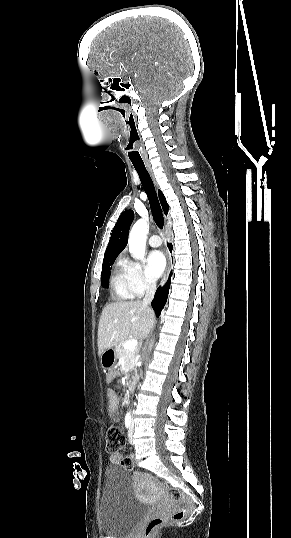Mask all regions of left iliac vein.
<instances>
[{
	"instance_id": "obj_1",
	"label": "left iliac vein",
	"mask_w": 291,
	"mask_h": 538,
	"mask_svg": "<svg viewBox=\"0 0 291 538\" xmlns=\"http://www.w3.org/2000/svg\"><path fill=\"white\" fill-rule=\"evenodd\" d=\"M133 433H134V421H131L130 428H129V441L132 443L133 441Z\"/></svg>"
}]
</instances>
